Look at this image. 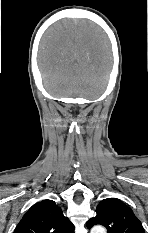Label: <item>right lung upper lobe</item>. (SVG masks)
<instances>
[{
    "label": "right lung upper lobe",
    "instance_id": "right-lung-upper-lobe-1",
    "mask_svg": "<svg viewBox=\"0 0 148 233\" xmlns=\"http://www.w3.org/2000/svg\"><path fill=\"white\" fill-rule=\"evenodd\" d=\"M13 233H74V225L53 200H42L27 211Z\"/></svg>",
    "mask_w": 148,
    "mask_h": 233
}]
</instances>
